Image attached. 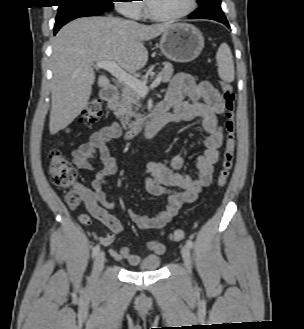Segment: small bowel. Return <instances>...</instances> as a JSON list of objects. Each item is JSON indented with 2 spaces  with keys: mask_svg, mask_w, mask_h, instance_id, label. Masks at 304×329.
Masks as SVG:
<instances>
[{
  "mask_svg": "<svg viewBox=\"0 0 304 329\" xmlns=\"http://www.w3.org/2000/svg\"><path fill=\"white\" fill-rule=\"evenodd\" d=\"M161 103L170 110V116L175 123L191 122L200 118L204 145L203 154L197 158L198 177L195 179L179 172L184 163L179 154L172 156L170 166L157 161H150L145 165L146 190L154 196L167 195V205L154 216L139 215L131 209L127 211V215L138 228H156L163 234L166 224L177 214L181 205L194 202L200 191L212 181L213 167L218 161L219 148L223 142L219 117L224 114V105L221 94L210 82L196 83L193 77L186 73L174 76ZM120 134L121 127L114 122L95 131L87 142L72 153L74 163L83 171L94 170L93 160L96 157L103 164V167L96 171L90 187L78 186L90 214H81L79 221L83 225H90L93 217L102 222L106 231L98 238L100 244L106 247L115 259L136 265L141 256L131 253L129 246H123L119 251L115 249V237L122 231V225L108 211L115 206V202L114 194L106 193V190L111 191L107 177L118 171L116 159L109 150V143ZM147 250L162 254L165 251V243L162 240H152L148 243Z\"/></svg>",
  "mask_w": 304,
  "mask_h": 329,
  "instance_id": "c3829d8e",
  "label": "small bowel"
}]
</instances>
